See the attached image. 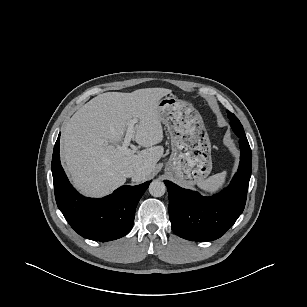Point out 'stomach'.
<instances>
[{"label": "stomach", "mask_w": 307, "mask_h": 307, "mask_svg": "<svg viewBox=\"0 0 307 307\" xmlns=\"http://www.w3.org/2000/svg\"><path fill=\"white\" fill-rule=\"evenodd\" d=\"M158 111L171 138L172 153L165 172L181 185L199 184L212 170L211 142L201 115L173 95L159 101Z\"/></svg>", "instance_id": "obj_1"}]
</instances>
